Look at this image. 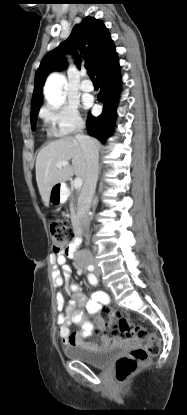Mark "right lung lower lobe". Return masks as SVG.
<instances>
[{
  "label": "right lung lower lobe",
  "mask_w": 187,
  "mask_h": 415,
  "mask_svg": "<svg viewBox=\"0 0 187 415\" xmlns=\"http://www.w3.org/2000/svg\"><path fill=\"white\" fill-rule=\"evenodd\" d=\"M119 68L116 54L96 75L101 89L98 94V100L103 103L104 108L98 117L90 114L86 126L89 135L96 137L102 143L106 141L113 131L109 125L115 121V109L119 101L118 93L121 86Z\"/></svg>",
  "instance_id": "obj_1"
}]
</instances>
